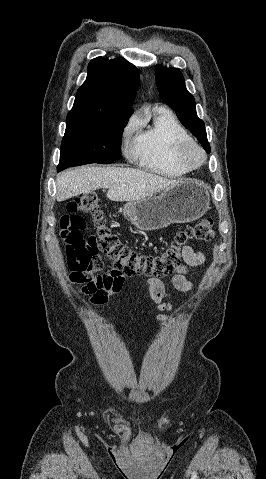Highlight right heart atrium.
Returning a JSON list of instances; mask_svg holds the SVG:
<instances>
[{"label":"right heart atrium","mask_w":266,"mask_h":479,"mask_svg":"<svg viewBox=\"0 0 266 479\" xmlns=\"http://www.w3.org/2000/svg\"><path fill=\"white\" fill-rule=\"evenodd\" d=\"M133 130V125L129 124L125 129H124V136H128L129 133Z\"/></svg>","instance_id":"d8ad5b80"}]
</instances>
